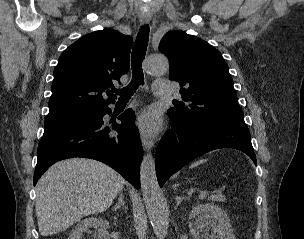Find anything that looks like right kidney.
Wrapping results in <instances>:
<instances>
[{"mask_svg": "<svg viewBox=\"0 0 304 239\" xmlns=\"http://www.w3.org/2000/svg\"><path fill=\"white\" fill-rule=\"evenodd\" d=\"M109 227V222L103 218H85L71 231L68 239H82L83 233L89 228H94V239H104L105 230Z\"/></svg>", "mask_w": 304, "mask_h": 239, "instance_id": "1", "label": "right kidney"}]
</instances>
